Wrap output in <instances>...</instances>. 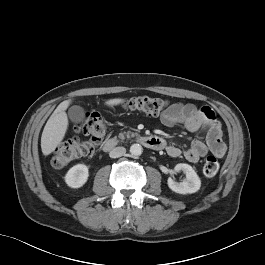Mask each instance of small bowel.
Instances as JSON below:
<instances>
[{
	"instance_id": "1",
	"label": "small bowel",
	"mask_w": 265,
	"mask_h": 265,
	"mask_svg": "<svg viewBox=\"0 0 265 265\" xmlns=\"http://www.w3.org/2000/svg\"><path fill=\"white\" fill-rule=\"evenodd\" d=\"M161 122L167 127L181 125L189 132L204 130L206 133L205 140L200 138L193 140L190 147L183 152L179 147L167 145L165 142L166 151L171 157L175 158L183 154L187 161L196 163L209 152L219 158L226 153L220 123L209 106L198 107L189 103H172L162 115Z\"/></svg>"
}]
</instances>
